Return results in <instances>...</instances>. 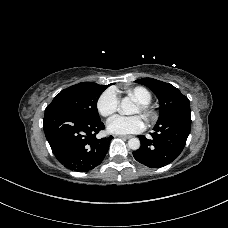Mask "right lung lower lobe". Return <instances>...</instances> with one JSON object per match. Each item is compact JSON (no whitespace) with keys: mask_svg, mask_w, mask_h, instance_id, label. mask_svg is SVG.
<instances>
[{"mask_svg":"<svg viewBox=\"0 0 228 228\" xmlns=\"http://www.w3.org/2000/svg\"><path fill=\"white\" fill-rule=\"evenodd\" d=\"M43 128L56 159L78 172L97 167L113 138L96 136L105 128L100 118L86 119L63 108H46Z\"/></svg>","mask_w":228,"mask_h":228,"instance_id":"98d812e1","label":"right lung lower lobe"}]
</instances>
